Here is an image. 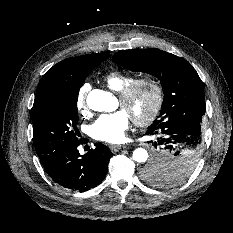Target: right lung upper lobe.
I'll list each match as a JSON object with an SVG mask.
<instances>
[{
  "instance_id": "right-lung-upper-lobe-1",
  "label": "right lung upper lobe",
  "mask_w": 233,
  "mask_h": 233,
  "mask_svg": "<svg viewBox=\"0 0 233 233\" xmlns=\"http://www.w3.org/2000/svg\"><path fill=\"white\" fill-rule=\"evenodd\" d=\"M109 53H93L67 58L49 69L40 80L34 103L48 94L70 91L73 83L83 78L97 65L106 60Z\"/></svg>"
}]
</instances>
